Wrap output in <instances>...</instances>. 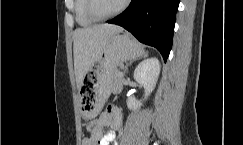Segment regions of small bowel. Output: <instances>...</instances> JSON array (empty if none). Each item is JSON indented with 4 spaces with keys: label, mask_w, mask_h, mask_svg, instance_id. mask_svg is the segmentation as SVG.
<instances>
[{
    "label": "small bowel",
    "mask_w": 243,
    "mask_h": 145,
    "mask_svg": "<svg viewBox=\"0 0 243 145\" xmlns=\"http://www.w3.org/2000/svg\"><path fill=\"white\" fill-rule=\"evenodd\" d=\"M122 124L120 111L115 107H109L88 126V135L84 138L82 145H110L117 144L116 132ZM107 127L108 132L103 134V128Z\"/></svg>",
    "instance_id": "1"
}]
</instances>
